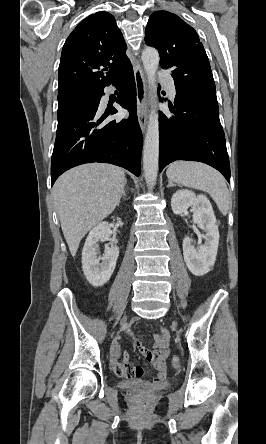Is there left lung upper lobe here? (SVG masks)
Wrapping results in <instances>:
<instances>
[{
    "label": "left lung upper lobe",
    "mask_w": 266,
    "mask_h": 444,
    "mask_svg": "<svg viewBox=\"0 0 266 444\" xmlns=\"http://www.w3.org/2000/svg\"><path fill=\"white\" fill-rule=\"evenodd\" d=\"M145 41L158 50L161 67L172 68L175 87L215 89L198 34L180 17L167 11L154 12L147 23Z\"/></svg>",
    "instance_id": "1"
}]
</instances>
